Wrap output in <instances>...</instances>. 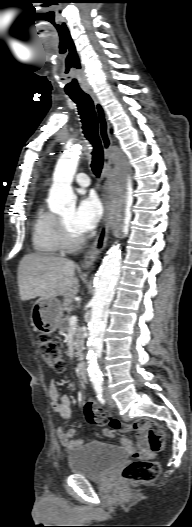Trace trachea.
I'll return each instance as SVG.
<instances>
[{
  "label": "trachea",
  "instance_id": "1",
  "mask_svg": "<svg viewBox=\"0 0 192 527\" xmlns=\"http://www.w3.org/2000/svg\"><path fill=\"white\" fill-rule=\"evenodd\" d=\"M69 96L78 106L85 137L93 146L91 167L94 174L99 177L103 166L104 154L98 136V120L93 101L86 93L69 94Z\"/></svg>",
  "mask_w": 192,
  "mask_h": 527
}]
</instances>
